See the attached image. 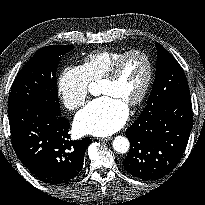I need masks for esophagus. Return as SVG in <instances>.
<instances>
[{
  "label": "esophagus",
  "mask_w": 205,
  "mask_h": 205,
  "mask_svg": "<svg viewBox=\"0 0 205 205\" xmlns=\"http://www.w3.org/2000/svg\"><path fill=\"white\" fill-rule=\"evenodd\" d=\"M112 136L111 137H106V138H101L100 141H104V142H107V141H110L112 140Z\"/></svg>",
  "instance_id": "1"
}]
</instances>
